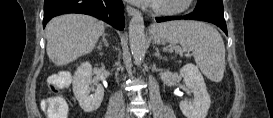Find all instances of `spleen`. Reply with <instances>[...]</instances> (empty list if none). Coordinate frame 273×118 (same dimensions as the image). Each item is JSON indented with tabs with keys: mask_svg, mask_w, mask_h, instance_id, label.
Wrapping results in <instances>:
<instances>
[{
	"mask_svg": "<svg viewBox=\"0 0 273 118\" xmlns=\"http://www.w3.org/2000/svg\"><path fill=\"white\" fill-rule=\"evenodd\" d=\"M156 42L165 38L171 45L192 50L197 66L210 80L220 82L225 70V46L219 32L198 21H172L152 28ZM172 51V49H170Z\"/></svg>",
	"mask_w": 273,
	"mask_h": 118,
	"instance_id": "1",
	"label": "spleen"
}]
</instances>
